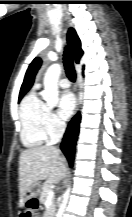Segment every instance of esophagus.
I'll use <instances>...</instances> for the list:
<instances>
[{"label": "esophagus", "instance_id": "34e87169", "mask_svg": "<svg viewBox=\"0 0 132 217\" xmlns=\"http://www.w3.org/2000/svg\"><path fill=\"white\" fill-rule=\"evenodd\" d=\"M80 105H81V95H80V93L78 92L77 111L79 110Z\"/></svg>", "mask_w": 132, "mask_h": 217}]
</instances>
